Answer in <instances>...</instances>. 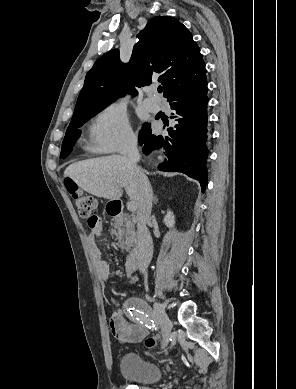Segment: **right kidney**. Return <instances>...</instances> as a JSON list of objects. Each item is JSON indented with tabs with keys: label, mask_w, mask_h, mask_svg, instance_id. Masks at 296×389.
Here are the masks:
<instances>
[{
	"label": "right kidney",
	"mask_w": 296,
	"mask_h": 389,
	"mask_svg": "<svg viewBox=\"0 0 296 389\" xmlns=\"http://www.w3.org/2000/svg\"><path fill=\"white\" fill-rule=\"evenodd\" d=\"M163 221L168 228H173L175 225V217L173 213L171 211H168Z\"/></svg>",
	"instance_id": "right-kidney-1"
}]
</instances>
